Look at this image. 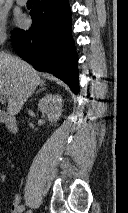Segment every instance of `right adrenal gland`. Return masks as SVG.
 <instances>
[{
    "instance_id": "1",
    "label": "right adrenal gland",
    "mask_w": 128,
    "mask_h": 213,
    "mask_svg": "<svg viewBox=\"0 0 128 213\" xmlns=\"http://www.w3.org/2000/svg\"><path fill=\"white\" fill-rule=\"evenodd\" d=\"M40 89H38L36 92H35V94H38L39 92H41V91H43V90H45L46 88H45V83L44 82H42L41 84H40Z\"/></svg>"
}]
</instances>
